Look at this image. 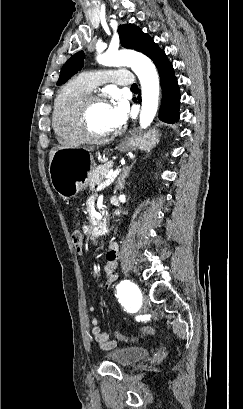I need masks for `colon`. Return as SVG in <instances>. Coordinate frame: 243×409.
<instances>
[{
  "mask_svg": "<svg viewBox=\"0 0 243 409\" xmlns=\"http://www.w3.org/2000/svg\"><path fill=\"white\" fill-rule=\"evenodd\" d=\"M72 242H73V245H74V248H75L76 252L81 253L82 250H83V235H82V233L80 231H78V230L73 231V233H72ZM153 332H154L153 328H151L150 326H145V327L142 328V331H141L140 335L145 336V337H149V336H151L153 334ZM116 336L119 339L123 340V341H131V340L135 339V338L124 336V335H122V334H120L118 332L116 333Z\"/></svg>",
  "mask_w": 243,
  "mask_h": 409,
  "instance_id": "1",
  "label": "colon"
}]
</instances>
